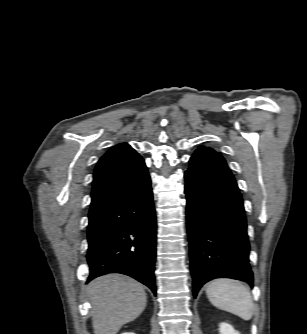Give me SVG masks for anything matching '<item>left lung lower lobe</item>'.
<instances>
[{
    "label": "left lung lower lobe",
    "mask_w": 307,
    "mask_h": 334,
    "mask_svg": "<svg viewBox=\"0 0 307 334\" xmlns=\"http://www.w3.org/2000/svg\"><path fill=\"white\" fill-rule=\"evenodd\" d=\"M193 294L215 278L253 285L243 200L226 167L191 162L185 172Z\"/></svg>",
    "instance_id": "obj_1"
}]
</instances>
